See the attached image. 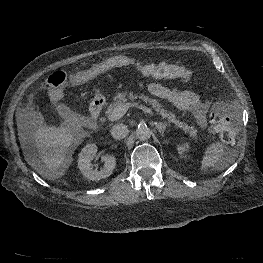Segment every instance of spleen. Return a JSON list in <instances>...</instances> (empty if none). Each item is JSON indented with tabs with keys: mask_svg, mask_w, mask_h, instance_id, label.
<instances>
[{
	"mask_svg": "<svg viewBox=\"0 0 263 263\" xmlns=\"http://www.w3.org/2000/svg\"><path fill=\"white\" fill-rule=\"evenodd\" d=\"M234 161L233 152L217 141L212 143L205 151L200 169L214 168L223 170Z\"/></svg>",
	"mask_w": 263,
	"mask_h": 263,
	"instance_id": "obj_1",
	"label": "spleen"
}]
</instances>
